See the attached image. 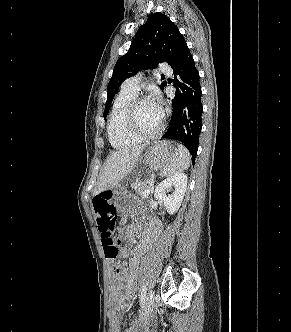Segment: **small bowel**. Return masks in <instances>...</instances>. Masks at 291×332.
Instances as JSON below:
<instances>
[{
  "mask_svg": "<svg viewBox=\"0 0 291 332\" xmlns=\"http://www.w3.org/2000/svg\"><path fill=\"white\" fill-rule=\"evenodd\" d=\"M121 223L123 227L119 232V256L127 258L129 255V246L136 245L128 264L120 265L115 270V281L111 293V301L115 309H125L129 306L136 292V280L140 260L159 235V226L154 221H150L145 225L139 223L128 225L125 219H122ZM135 235L139 236L137 243Z\"/></svg>",
  "mask_w": 291,
  "mask_h": 332,
  "instance_id": "1",
  "label": "small bowel"
}]
</instances>
